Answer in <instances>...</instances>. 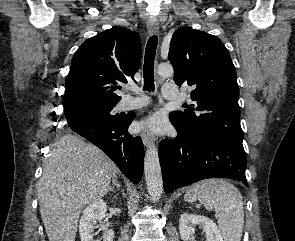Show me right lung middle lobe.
Instances as JSON below:
<instances>
[{"mask_svg":"<svg viewBox=\"0 0 295 241\" xmlns=\"http://www.w3.org/2000/svg\"><path fill=\"white\" fill-rule=\"evenodd\" d=\"M116 104L98 105L65 113L68 123L77 122L87 118H105L110 120H122L125 116L113 114L112 110Z\"/></svg>","mask_w":295,"mask_h":241,"instance_id":"dd1d6c3e","label":"right lung middle lobe"}]
</instances>
